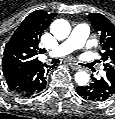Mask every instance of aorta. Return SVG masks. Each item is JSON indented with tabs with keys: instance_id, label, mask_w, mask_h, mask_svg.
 <instances>
[{
	"instance_id": "obj_1",
	"label": "aorta",
	"mask_w": 115,
	"mask_h": 119,
	"mask_svg": "<svg viewBox=\"0 0 115 119\" xmlns=\"http://www.w3.org/2000/svg\"><path fill=\"white\" fill-rule=\"evenodd\" d=\"M50 31L55 38L62 40L69 36L71 26L66 20L58 19L51 24ZM89 79V74L84 71H79L75 74V81L79 86L86 85Z\"/></svg>"
}]
</instances>
